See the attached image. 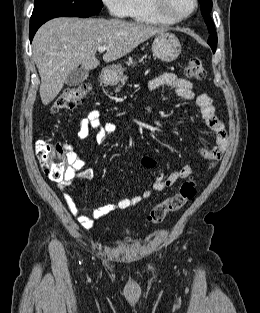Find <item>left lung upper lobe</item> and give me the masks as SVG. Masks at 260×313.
<instances>
[{
  "label": "left lung upper lobe",
  "mask_w": 260,
  "mask_h": 313,
  "mask_svg": "<svg viewBox=\"0 0 260 313\" xmlns=\"http://www.w3.org/2000/svg\"><path fill=\"white\" fill-rule=\"evenodd\" d=\"M198 1L201 4L202 16L205 18L208 30L211 33L208 39V44L212 48L213 53H215L217 45V34L215 31L214 23L210 18V11L212 9V0H198Z\"/></svg>",
  "instance_id": "left-lung-upper-lobe-1"
}]
</instances>
